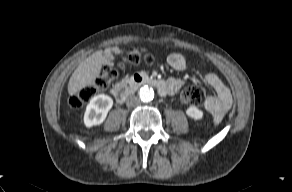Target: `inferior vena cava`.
Listing matches in <instances>:
<instances>
[{
	"instance_id": "1",
	"label": "inferior vena cava",
	"mask_w": 292,
	"mask_h": 192,
	"mask_svg": "<svg viewBox=\"0 0 292 192\" xmlns=\"http://www.w3.org/2000/svg\"><path fill=\"white\" fill-rule=\"evenodd\" d=\"M140 99L136 96H130L128 97L127 101H126V104L127 106H131V107H134V106H137L140 104Z\"/></svg>"
}]
</instances>
